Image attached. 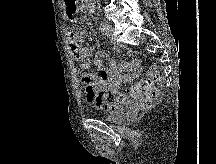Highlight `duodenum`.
<instances>
[{
    "label": "duodenum",
    "instance_id": "410a0bca",
    "mask_svg": "<svg viewBox=\"0 0 216 164\" xmlns=\"http://www.w3.org/2000/svg\"><path fill=\"white\" fill-rule=\"evenodd\" d=\"M86 3H90V0H85ZM88 7H90L91 4H86Z\"/></svg>",
    "mask_w": 216,
    "mask_h": 164
}]
</instances>
